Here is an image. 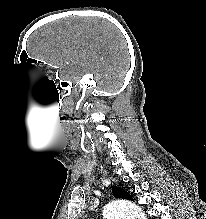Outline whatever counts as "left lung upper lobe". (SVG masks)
I'll use <instances>...</instances> for the list:
<instances>
[{"label":"left lung upper lobe","mask_w":206,"mask_h":219,"mask_svg":"<svg viewBox=\"0 0 206 219\" xmlns=\"http://www.w3.org/2000/svg\"><path fill=\"white\" fill-rule=\"evenodd\" d=\"M112 193L114 194L115 198H123L133 201L132 196L127 191L117 186H112Z\"/></svg>","instance_id":"obj_1"}]
</instances>
